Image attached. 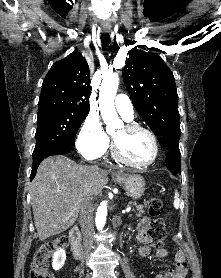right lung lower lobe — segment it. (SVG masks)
<instances>
[{
	"label": "right lung lower lobe",
	"mask_w": 221,
	"mask_h": 278,
	"mask_svg": "<svg viewBox=\"0 0 221 278\" xmlns=\"http://www.w3.org/2000/svg\"><path fill=\"white\" fill-rule=\"evenodd\" d=\"M74 144L70 142L60 141V142H53L48 144L36 151L33 152V165H32V172L30 176V180L35 177L37 168L40 162L49 156L52 155H61L68 152Z\"/></svg>",
	"instance_id": "obj_1"
}]
</instances>
